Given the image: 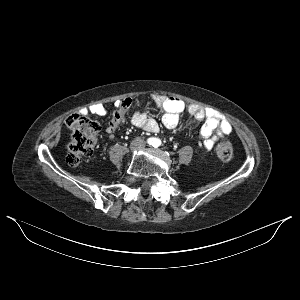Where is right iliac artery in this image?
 I'll return each instance as SVG.
<instances>
[{
  "instance_id": "obj_1",
  "label": "right iliac artery",
  "mask_w": 300,
  "mask_h": 300,
  "mask_svg": "<svg viewBox=\"0 0 300 300\" xmlns=\"http://www.w3.org/2000/svg\"><path fill=\"white\" fill-rule=\"evenodd\" d=\"M147 143H148V144H152V140H151V139H148V140H147Z\"/></svg>"
}]
</instances>
